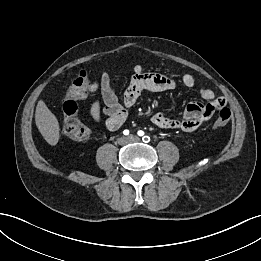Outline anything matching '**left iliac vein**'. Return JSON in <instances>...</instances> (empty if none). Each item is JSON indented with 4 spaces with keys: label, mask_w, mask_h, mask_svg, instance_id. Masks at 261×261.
Instances as JSON below:
<instances>
[{
    "label": "left iliac vein",
    "mask_w": 261,
    "mask_h": 261,
    "mask_svg": "<svg viewBox=\"0 0 261 261\" xmlns=\"http://www.w3.org/2000/svg\"><path fill=\"white\" fill-rule=\"evenodd\" d=\"M128 140H129L130 142H138V141H140V138H139L138 136L130 135V136L128 137Z\"/></svg>",
    "instance_id": "obj_1"
}]
</instances>
